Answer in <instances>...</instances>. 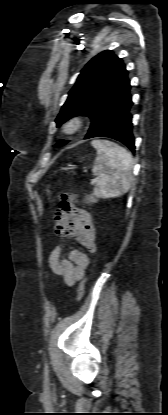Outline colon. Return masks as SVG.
<instances>
[{"label": "colon", "instance_id": "obj_1", "mask_svg": "<svg viewBox=\"0 0 168 415\" xmlns=\"http://www.w3.org/2000/svg\"><path fill=\"white\" fill-rule=\"evenodd\" d=\"M84 184L88 183L87 179L83 180ZM97 199V194H95L94 191H89L86 194V197H84L83 202H88V203H95ZM79 202H82V199H79ZM89 207H94V204H89ZM84 290H85V280H82L79 284L78 287V291H77V300H81L83 295H84Z\"/></svg>", "mask_w": 168, "mask_h": 415}]
</instances>
